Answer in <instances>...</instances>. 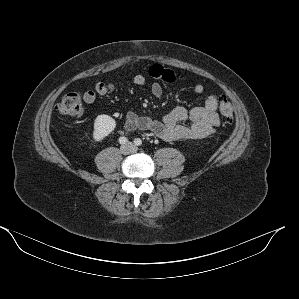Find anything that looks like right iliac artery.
I'll use <instances>...</instances> for the list:
<instances>
[{"mask_svg":"<svg viewBox=\"0 0 299 299\" xmlns=\"http://www.w3.org/2000/svg\"><path fill=\"white\" fill-rule=\"evenodd\" d=\"M127 142H128V140H127L126 137H123V136H122V137L119 138V143H120V144H126Z\"/></svg>","mask_w":299,"mask_h":299,"instance_id":"obj_1","label":"right iliac artery"}]
</instances>
